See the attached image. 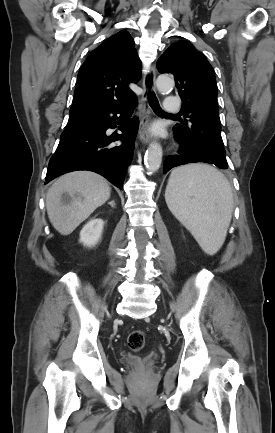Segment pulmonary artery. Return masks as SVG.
<instances>
[{"instance_id":"obj_1","label":"pulmonary artery","mask_w":275,"mask_h":433,"mask_svg":"<svg viewBox=\"0 0 275 433\" xmlns=\"http://www.w3.org/2000/svg\"><path fill=\"white\" fill-rule=\"evenodd\" d=\"M180 109V104L175 96L165 97L163 111L167 114L177 113Z\"/></svg>"}]
</instances>
